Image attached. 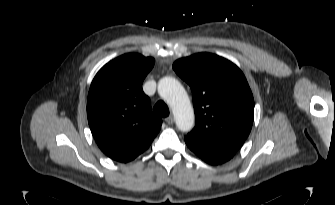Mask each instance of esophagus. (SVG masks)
<instances>
[{
  "label": "esophagus",
  "mask_w": 335,
  "mask_h": 205,
  "mask_svg": "<svg viewBox=\"0 0 335 205\" xmlns=\"http://www.w3.org/2000/svg\"><path fill=\"white\" fill-rule=\"evenodd\" d=\"M165 122L168 124V125H171L174 123V118L173 116H169L167 118H165Z\"/></svg>",
  "instance_id": "obj_1"
}]
</instances>
